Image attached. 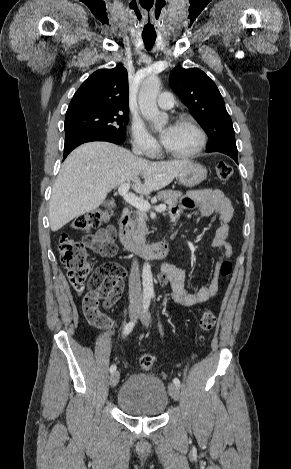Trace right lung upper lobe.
Wrapping results in <instances>:
<instances>
[{"label":"right lung upper lobe","mask_w":291,"mask_h":469,"mask_svg":"<svg viewBox=\"0 0 291 469\" xmlns=\"http://www.w3.org/2000/svg\"><path fill=\"white\" fill-rule=\"evenodd\" d=\"M91 109L129 112L128 76L123 65L91 74L74 94L66 113Z\"/></svg>","instance_id":"cb5924a9"}]
</instances>
